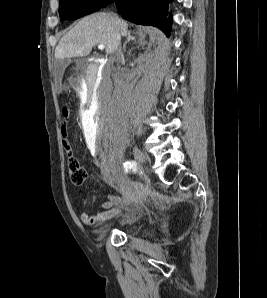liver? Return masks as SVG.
<instances>
[{"instance_id":"liver-1","label":"liver","mask_w":267,"mask_h":298,"mask_svg":"<svg viewBox=\"0 0 267 298\" xmlns=\"http://www.w3.org/2000/svg\"><path fill=\"white\" fill-rule=\"evenodd\" d=\"M128 24L110 13L98 12L82 18L59 41L58 60L89 55L95 45L103 44L107 54L115 53L121 36H127Z\"/></svg>"}]
</instances>
